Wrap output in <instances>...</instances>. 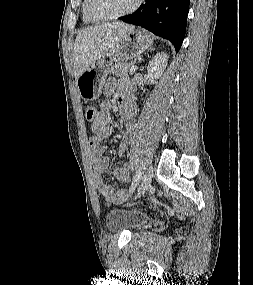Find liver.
Segmentation results:
<instances>
[{"instance_id": "liver-1", "label": "liver", "mask_w": 253, "mask_h": 285, "mask_svg": "<svg viewBox=\"0 0 253 285\" xmlns=\"http://www.w3.org/2000/svg\"><path fill=\"white\" fill-rule=\"evenodd\" d=\"M133 25L115 22L82 30L74 44L75 79L111 51Z\"/></svg>"}]
</instances>
